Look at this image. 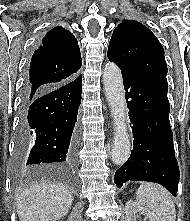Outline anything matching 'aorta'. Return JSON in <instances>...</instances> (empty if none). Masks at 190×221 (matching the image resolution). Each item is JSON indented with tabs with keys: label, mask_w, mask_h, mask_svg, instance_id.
I'll use <instances>...</instances> for the list:
<instances>
[{
	"label": "aorta",
	"mask_w": 190,
	"mask_h": 221,
	"mask_svg": "<svg viewBox=\"0 0 190 221\" xmlns=\"http://www.w3.org/2000/svg\"><path fill=\"white\" fill-rule=\"evenodd\" d=\"M103 83L115 126L111 160L116 165H122L130 156L131 143L128 134L123 80L121 71L115 63L108 62L104 66Z\"/></svg>",
	"instance_id": "aorta-1"
}]
</instances>
